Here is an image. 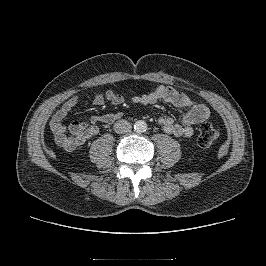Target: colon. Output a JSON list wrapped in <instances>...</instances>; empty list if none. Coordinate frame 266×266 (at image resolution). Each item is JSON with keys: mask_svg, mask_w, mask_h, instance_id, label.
<instances>
[{"mask_svg": "<svg viewBox=\"0 0 266 266\" xmlns=\"http://www.w3.org/2000/svg\"><path fill=\"white\" fill-rule=\"evenodd\" d=\"M218 130L211 123H203L197 135V144L200 147H208L210 146L217 138H218Z\"/></svg>", "mask_w": 266, "mask_h": 266, "instance_id": "5ec220e1", "label": "colon"}]
</instances>
